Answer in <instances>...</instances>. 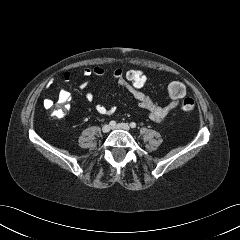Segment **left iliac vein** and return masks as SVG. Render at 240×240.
I'll list each match as a JSON object with an SVG mask.
<instances>
[{"instance_id": "left-iliac-vein-1", "label": "left iliac vein", "mask_w": 240, "mask_h": 240, "mask_svg": "<svg viewBox=\"0 0 240 240\" xmlns=\"http://www.w3.org/2000/svg\"><path fill=\"white\" fill-rule=\"evenodd\" d=\"M112 129H122V130L129 131V130H130V127H129V125L126 124V123H119V124L113 126Z\"/></svg>"}]
</instances>
